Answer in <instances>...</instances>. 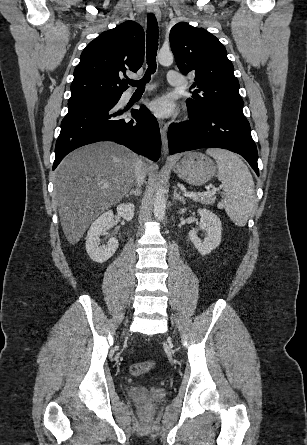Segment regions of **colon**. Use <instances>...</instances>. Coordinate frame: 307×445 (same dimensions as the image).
Here are the masks:
<instances>
[{
	"instance_id": "5ec220e1",
	"label": "colon",
	"mask_w": 307,
	"mask_h": 445,
	"mask_svg": "<svg viewBox=\"0 0 307 445\" xmlns=\"http://www.w3.org/2000/svg\"><path fill=\"white\" fill-rule=\"evenodd\" d=\"M153 367H154L153 361L133 363L130 366V373L136 376L142 375L148 372Z\"/></svg>"
}]
</instances>
